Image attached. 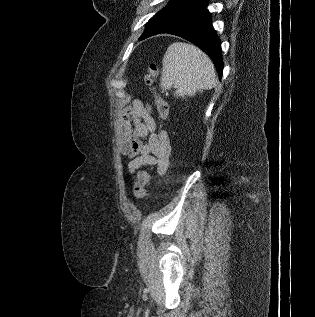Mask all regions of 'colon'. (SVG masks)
<instances>
[{"label": "colon", "instance_id": "5ec220e1", "mask_svg": "<svg viewBox=\"0 0 315 317\" xmlns=\"http://www.w3.org/2000/svg\"><path fill=\"white\" fill-rule=\"evenodd\" d=\"M159 69L156 64H150L147 69L146 80L149 85L153 88L155 95L156 106L159 116L162 120H166L168 117V105L165 99L157 90ZM151 180L150 174L146 170H141L137 174V179L134 184V196L137 200H142L146 196V187Z\"/></svg>", "mask_w": 315, "mask_h": 317}]
</instances>
